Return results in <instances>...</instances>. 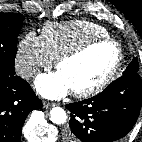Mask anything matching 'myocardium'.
Here are the masks:
<instances>
[{"label": "myocardium", "mask_w": 142, "mask_h": 142, "mask_svg": "<svg viewBox=\"0 0 142 142\" xmlns=\"http://www.w3.org/2000/svg\"><path fill=\"white\" fill-rule=\"evenodd\" d=\"M101 44H111L116 49L117 56L113 66L101 80H99L97 83L93 84L92 86L87 87L85 89L72 90L73 95L77 97L94 96L98 94L100 91H102L114 79V77L116 76V74L120 69L123 60V51L121 45L115 39L110 37L93 38L61 54L56 59L55 67L56 69H58L62 63L80 57L81 55L85 54L93 47Z\"/></svg>", "instance_id": "myocardium-1"}]
</instances>
